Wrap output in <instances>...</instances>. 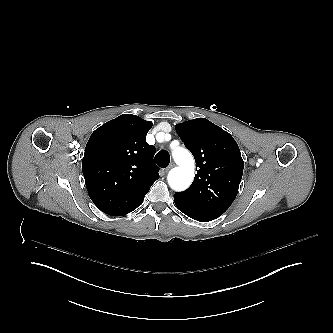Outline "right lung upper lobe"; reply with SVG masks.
Listing matches in <instances>:
<instances>
[{"mask_svg": "<svg viewBox=\"0 0 333 333\" xmlns=\"http://www.w3.org/2000/svg\"><path fill=\"white\" fill-rule=\"evenodd\" d=\"M152 122L123 114L97 128L90 136L82 161V170L97 159L107 162L116 180L137 177L157 180L159 167L154 163L155 147L147 144L146 134ZM101 191L92 190L90 198Z\"/></svg>", "mask_w": 333, "mask_h": 333, "instance_id": "obj_1", "label": "right lung upper lobe"}]
</instances>
